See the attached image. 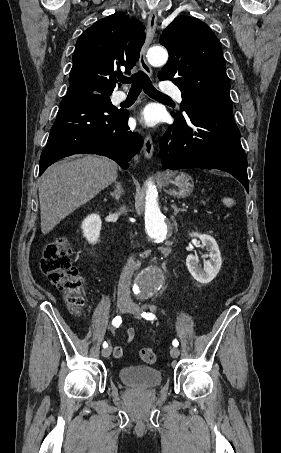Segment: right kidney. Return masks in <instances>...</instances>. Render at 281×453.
<instances>
[{"label":"right kidney","mask_w":281,"mask_h":453,"mask_svg":"<svg viewBox=\"0 0 281 453\" xmlns=\"http://www.w3.org/2000/svg\"><path fill=\"white\" fill-rule=\"evenodd\" d=\"M81 229L85 239L95 245L99 239L101 231V218L99 214H89L81 224Z\"/></svg>","instance_id":"ca27d5eb"}]
</instances>
